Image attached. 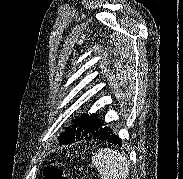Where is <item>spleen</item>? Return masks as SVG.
Masks as SVG:
<instances>
[{
  "label": "spleen",
  "instance_id": "3e777b00",
  "mask_svg": "<svg viewBox=\"0 0 183 179\" xmlns=\"http://www.w3.org/2000/svg\"><path fill=\"white\" fill-rule=\"evenodd\" d=\"M92 164L101 179H126L130 165L125 156L110 148H101L92 155Z\"/></svg>",
  "mask_w": 183,
  "mask_h": 179
}]
</instances>
